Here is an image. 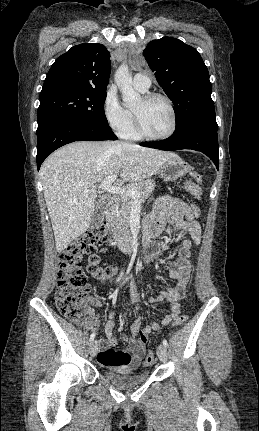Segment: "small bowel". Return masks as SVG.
Segmentation results:
<instances>
[{
    "mask_svg": "<svg viewBox=\"0 0 259 431\" xmlns=\"http://www.w3.org/2000/svg\"><path fill=\"white\" fill-rule=\"evenodd\" d=\"M188 204L184 201L164 196L159 198L152 210L146 215L142 224L143 243L147 245L149 241L157 237L164 229L167 223L175 225L172 238L174 239L180 231H185L190 235V239H182L179 242L178 258L175 262L168 263L169 276L175 281L173 286L159 291L155 296L149 298V304H156L167 301L169 304V314L160 322H154L148 326H141V317L137 316L131 326V336H123V340L128 344V350H115L116 339L114 337V316L115 309L109 313L108 320L105 323L104 331L106 339L101 340L99 352L97 354L98 362L107 368L137 366L145 352V343L142 335H149L152 331L172 323L180 313L179 302L186 298L189 292L190 273L192 270L191 247L193 244H199L201 241V228L197 219H193L188 211ZM89 302L98 307L101 303L94 298ZM94 327L97 321L92 320Z\"/></svg>",
    "mask_w": 259,
    "mask_h": 431,
    "instance_id": "c3829d8e",
    "label": "small bowel"
}]
</instances>
